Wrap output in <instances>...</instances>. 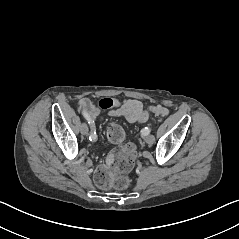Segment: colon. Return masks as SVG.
<instances>
[{
  "mask_svg": "<svg viewBox=\"0 0 239 239\" xmlns=\"http://www.w3.org/2000/svg\"><path fill=\"white\" fill-rule=\"evenodd\" d=\"M114 106V100L104 98L99 101L100 109H109ZM149 111L159 116H167V108L154 105L149 107ZM107 138L114 144H122L125 140V131L121 125L111 123L106 130ZM135 160V149L130 144H124L116 149L108 157L105 164L99 166L95 171L94 179L98 186L124 190L130 184L129 172Z\"/></svg>",
  "mask_w": 239,
  "mask_h": 239,
  "instance_id": "colon-1",
  "label": "colon"
}]
</instances>
